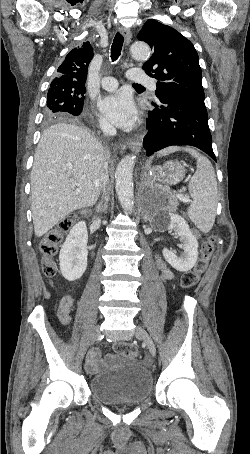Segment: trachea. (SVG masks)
Segmentation results:
<instances>
[{
  "instance_id": "obj_1",
  "label": "trachea",
  "mask_w": 250,
  "mask_h": 454,
  "mask_svg": "<svg viewBox=\"0 0 250 454\" xmlns=\"http://www.w3.org/2000/svg\"><path fill=\"white\" fill-rule=\"evenodd\" d=\"M123 42H124V37L119 32H117L115 35V38L113 40L112 46H111L112 61H116L118 59V57L120 56ZM133 86L143 88V86H141L139 84H133Z\"/></svg>"
}]
</instances>
